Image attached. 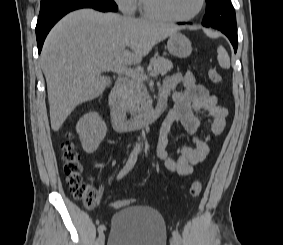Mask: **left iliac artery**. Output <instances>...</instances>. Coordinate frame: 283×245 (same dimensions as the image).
Instances as JSON below:
<instances>
[{
  "label": "left iliac artery",
  "instance_id": "1",
  "mask_svg": "<svg viewBox=\"0 0 283 245\" xmlns=\"http://www.w3.org/2000/svg\"><path fill=\"white\" fill-rule=\"evenodd\" d=\"M172 236H173V239H175L179 244L181 243L182 240H181V236L178 233V231H173Z\"/></svg>",
  "mask_w": 283,
  "mask_h": 245
}]
</instances>
